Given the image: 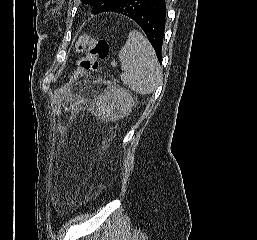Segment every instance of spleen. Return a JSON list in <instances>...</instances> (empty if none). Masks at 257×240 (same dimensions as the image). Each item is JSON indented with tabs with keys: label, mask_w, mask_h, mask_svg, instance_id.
<instances>
[{
	"label": "spleen",
	"mask_w": 257,
	"mask_h": 240,
	"mask_svg": "<svg viewBox=\"0 0 257 240\" xmlns=\"http://www.w3.org/2000/svg\"><path fill=\"white\" fill-rule=\"evenodd\" d=\"M119 60L124 70L120 78L128 88L142 95L156 90L162 78L159 63L151 44L140 32L130 31Z\"/></svg>",
	"instance_id": "3e777b00"
}]
</instances>
